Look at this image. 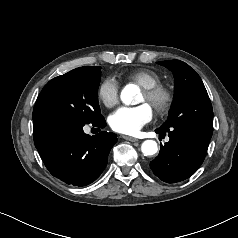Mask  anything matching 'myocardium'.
<instances>
[{
    "instance_id": "f54148a6",
    "label": "myocardium",
    "mask_w": 238,
    "mask_h": 238,
    "mask_svg": "<svg viewBox=\"0 0 238 238\" xmlns=\"http://www.w3.org/2000/svg\"><path fill=\"white\" fill-rule=\"evenodd\" d=\"M146 101L159 114L167 113L173 103V94L165 85L157 84L149 88H143Z\"/></svg>"
}]
</instances>
